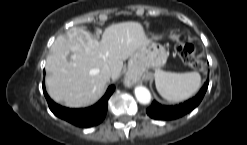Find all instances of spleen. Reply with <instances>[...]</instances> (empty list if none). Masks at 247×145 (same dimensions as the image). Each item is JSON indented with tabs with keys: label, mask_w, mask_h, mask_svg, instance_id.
I'll return each mask as SVG.
<instances>
[{
	"label": "spleen",
	"mask_w": 247,
	"mask_h": 145,
	"mask_svg": "<svg viewBox=\"0 0 247 145\" xmlns=\"http://www.w3.org/2000/svg\"><path fill=\"white\" fill-rule=\"evenodd\" d=\"M154 78L158 93L172 103L192 97L201 87V76L198 72L174 73L157 70Z\"/></svg>",
	"instance_id": "3e777b00"
}]
</instances>
